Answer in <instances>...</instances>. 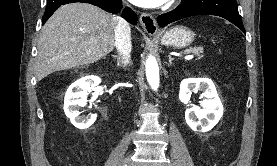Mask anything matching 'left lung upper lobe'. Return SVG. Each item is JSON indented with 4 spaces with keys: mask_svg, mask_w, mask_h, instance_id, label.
Masks as SVG:
<instances>
[{
    "mask_svg": "<svg viewBox=\"0 0 277 166\" xmlns=\"http://www.w3.org/2000/svg\"><path fill=\"white\" fill-rule=\"evenodd\" d=\"M182 1L186 2V1H189V0H182Z\"/></svg>",
    "mask_w": 277,
    "mask_h": 166,
    "instance_id": "left-lung-upper-lobe-1",
    "label": "left lung upper lobe"
}]
</instances>
